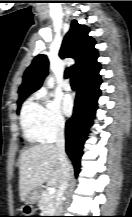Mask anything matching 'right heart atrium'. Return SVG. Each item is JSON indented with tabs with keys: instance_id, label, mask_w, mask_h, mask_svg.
Here are the masks:
<instances>
[{
	"instance_id": "right-heart-atrium-1",
	"label": "right heart atrium",
	"mask_w": 132,
	"mask_h": 217,
	"mask_svg": "<svg viewBox=\"0 0 132 217\" xmlns=\"http://www.w3.org/2000/svg\"><path fill=\"white\" fill-rule=\"evenodd\" d=\"M37 97L43 100L42 134L46 141H51L63 133L65 128V118L56 101L48 99L42 92L38 93Z\"/></svg>"
}]
</instances>
